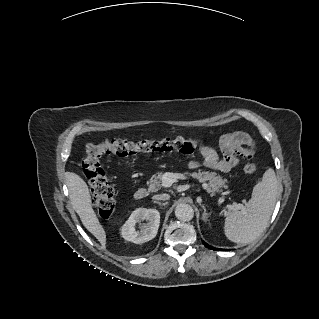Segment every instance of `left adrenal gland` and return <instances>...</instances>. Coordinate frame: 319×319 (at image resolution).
Here are the masks:
<instances>
[{
    "label": "left adrenal gland",
    "instance_id": "obj_1",
    "mask_svg": "<svg viewBox=\"0 0 319 319\" xmlns=\"http://www.w3.org/2000/svg\"><path fill=\"white\" fill-rule=\"evenodd\" d=\"M201 205V204H200ZM201 207L203 208V214H202V218H203V220L205 221V222H207L208 221V216H209V214L207 213V211H206V208H205V206L204 205H201Z\"/></svg>",
    "mask_w": 319,
    "mask_h": 319
}]
</instances>
